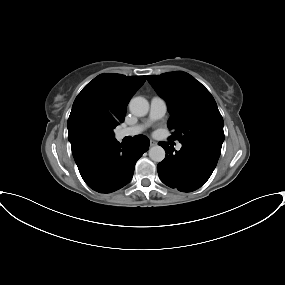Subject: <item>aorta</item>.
<instances>
[{"instance_id":"aorta-1","label":"aorta","mask_w":285,"mask_h":285,"mask_svg":"<svg viewBox=\"0 0 285 285\" xmlns=\"http://www.w3.org/2000/svg\"><path fill=\"white\" fill-rule=\"evenodd\" d=\"M130 112L138 117L145 116L149 111V102L144 97H134L129 103ZM165 150L161 146H153L149 149V157L154 162H161L165 158Z\"/></svg>"}]
</instances>
